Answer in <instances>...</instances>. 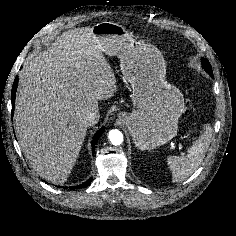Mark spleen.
<instances>
[{
	"label": "spleen",
	"mask_w": 236,
	"mask_h": 236,
	"mask_svg": "<svg viewBox=\"0 0 236 236\" xmlns=\"http://www.w3.org/2000/svg\"><path fill=\"white\" fill-rule=\"evenodd\" d=\"M211 137L212 128L208 125L200 138L191 146L186 156L168 157L173 182H181L197 170L209 148Z\"/></svg>",
	"instance_id": "1"
}]
</instances>
